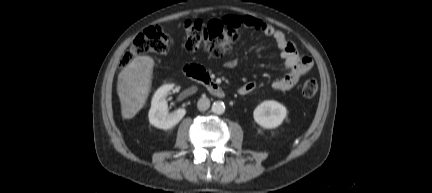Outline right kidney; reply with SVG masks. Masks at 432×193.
<instances>
[{"label": "right kidney", "mask_w": 432, "mask_h": 193, "mask_svg": "<svg viewBox=\"0 0 432 193\" xmlns=\"http://www.w3.org/2000/svg\"><path fill=\"white\" fill-rule=\"evenodd\" d=\"M174 84H166L161 86L154 94L149 110V122L160 129H170L177 125L186 114L184 108L178 109L172 113L168 112V104L166 97Z\"/></svg>", "instance_id": "obj_1"}]
</instances>
